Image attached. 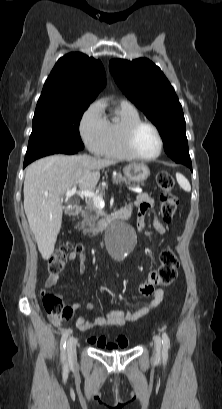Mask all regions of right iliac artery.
Returning a JSON list of instances; mask_svg holds the SVG:
<instances>
[{"mask_svg":"<svg viewBox=\"0 0 222 409\" xmlns=\"http://www.w3.org/2000/svg\"><path fill=\"white\" fill-rule=\"evenodd\" d=\"M69 332H70V331L67 330L65 333H63L62 338H61V343H60L61 361H62L63 363H66V361H67L65 348H66V340H67V338H68Z\"/></svg>","mask_w":222,"mask_h":409,"instance_id":"obj_1","label":"right iliac artery"}]
</instances>
